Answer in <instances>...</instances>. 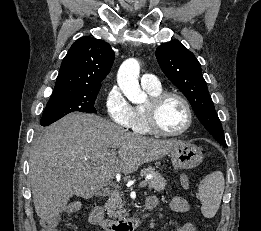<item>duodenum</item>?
Masks as SVG:
<instances>
[{
  "label": "duodenum",
  "instance_id": "duodenum-1",
  "mask_svg": "<svg viewBox=\"0 0 261 231\" xmlns=\"http://www.w3.org/2000/svg\"><path fill=\"white\" fill-rule=\"evenodd\" d=\"M152 208L150 203H145L144 209L149 210ZM90 221L94 225H101L106 231H133L139 224V218L133 217L121 221H109L103 218V210L100 205L93 208Z\"/></svg>",
  "mask_w": 261,
  "mask_h": 231
}]
</instances>
